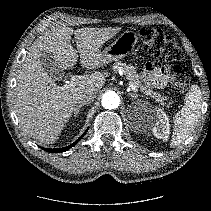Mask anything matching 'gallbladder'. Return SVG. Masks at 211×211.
<instances>
[{
    "label": "gallbladder",
    "instance_id": "gallbladder-1",
    "mask_svg": "<svg viewBox=\"0 0 211 211\" xmlns=\"http://www.w3.org/2000/svg\"><path fill=\"white\" fill-rule=\"evenodd\" d=\"M40 61L45 71L54 79H61L64 75L62 68L58 65L54 57L48 51L41 52Z\"/></svg>",
    "mask_w": 211,
    "mask_h": 211
}]
</instances>
